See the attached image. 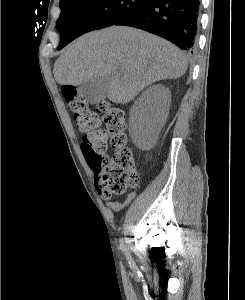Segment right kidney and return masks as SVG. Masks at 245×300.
Masks as SVG:
<instances>
[{
    "label": "right kidney",
    "instance_id": "ca27d5eb",
    "mask_svg": "<svg viewBox=\"0 0 245 300\" xmlns=\"http://www.w3.org/2000/svg\"><path fill=\"white\" fill-rule=\"evenodd\" d=\"M171 92L163 85L146 89L130 110L129 134L133 143L142 150L152 148L166 122Z\"/></svg>",
    "mask_w": 245,
    "mask_h": 300
}]
</instances>
